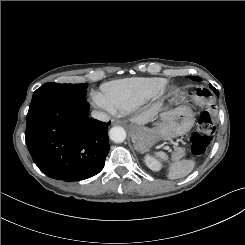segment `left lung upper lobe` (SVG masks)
<instances>
[{
    "label": "left lung upper lobe",
    "instance_id": "obj_1",
    "mask_svg": "<svg viewBox=\"0 0 245 245\" xmlns=\"http://www.w3.org/2000/svg\"><path fill=\"white\" fill-rule=\"evenodd\" d=\"M192 79H193L194 81H201V78H199V77H192ZM210 88H211L216 94H218V93H217V90H216L214 87L210 86Z\"/></svg>",
    "mask_w": 245,
    "mask_h": 245
}]
</instances>
